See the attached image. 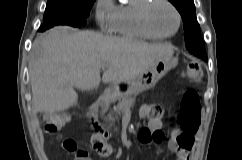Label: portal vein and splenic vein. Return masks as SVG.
I'll return each instance as SVG.
<instances>
[{
    "label": "portal vein and splenic vein",
    "mask_w": 242,
    "mask_h": 160,
    "mask_svg": "<svg viewBox=\"0 0 242 160\" xmlns=\"http://www.w3.org/2000/svg\"><path fill=\"white\" fill-rule=\"evenodd\" d=\"M108 65H102V69H107Z\"/></svg>",
    "instance_id": "18ae733b"
}]
</instances>
